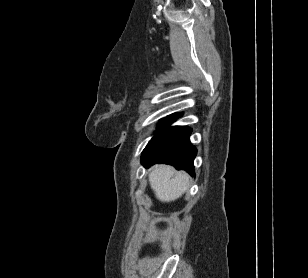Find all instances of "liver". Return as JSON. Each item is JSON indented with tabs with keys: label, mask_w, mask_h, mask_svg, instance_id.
Masks as SVG:
<instances>
[{
	"label": "liver",
	"mask_w": 308,
	"mask_h": 278,
	"mask_svg": "<svg viewBox=\"0 0 308 278\" xmlns=\"http://www.w3.org/2000/svg\"><path fill=\"white\" fill-rule=\"evenodd\" d=\"M149 182L157 199L171 202L187 191L189 176L185 172L176 173L170 166L157 165L149 174Z\"/></svg>",
	"instance_id": "obj_1"
}]
</instances>
